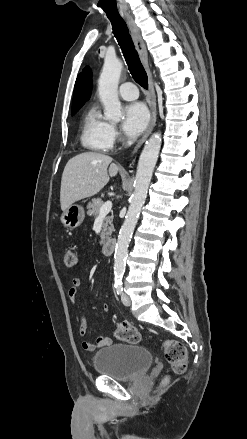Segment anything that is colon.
Returning a JSON list of instances; mask_svg holds the SVG:
<instances>
[{
    "mask_svg": "<svg viewBox=\"0 0 247 439\" xmlns=\"http://www.w3.org/2000/svg\"><path fill=\"white\" fill-rule=\"evenodd\" d=\"M77 262L76 253L73 250H66L64 253V264L67 267H73ZM115 335L119 340L132 344H137L142 339L140 332L128 322H120ZM163 347L166 360L172 371L176 374L184 373L187 368V350L185 346L176 340H166Z\"/></svg>",
    "mask_w": 247,
    "mask_h": 439,
    "instance_id": "colon-1",
    "label": "colon"
}]
</instances>
